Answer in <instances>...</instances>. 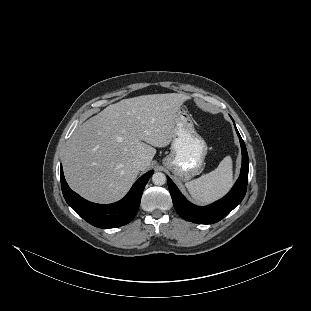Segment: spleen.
Instances as JSON below:
<instances>
[{
  "label": "spleen",
  "mask_w": 311,
  "mask_h": 311,
  "mask_svg": "<svg viewBox=\"0 0 311 311\" xmlns=\"http://www.w3.org/2000/svg\"><path fill=\"white\" fill-rule=\"evenodd\" d=\"M232 168V158L226 156L215 170L185 183V186L197 203L213 202L224 196L233 186Z\"/></svg>",
  "instance_id": "spleen-1"
}]
</instances>
